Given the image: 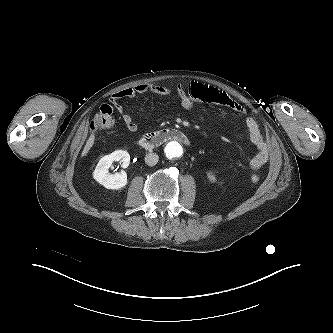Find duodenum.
I'll return each mask as SVG.
<instances>
[{
	"label": "duodenum",
	"instance_id": "duodenum-1",
	"mask_svg": "<svg viewBox=\"0 0 333 333\" xmlns=\"http://www.w3.org/2000/svg\"><path fill=\"white\" fill-rule=\"evenodd\" d=\"M168 141L189 144V139L181 130L168 128L143 135L138 139V145L146 150H152Z\"/></svg>",
	"mask_w": 333,
	"mask_h": 333
}]
</instances>
